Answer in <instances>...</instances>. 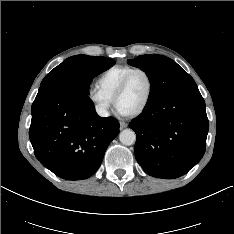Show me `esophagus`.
<instances>
[{"instance_id":"34e87169","label":"esophagus","mask_w":234,"mask_h":234,"mask_svg":"<svg viewBox=\"0 0 234 234\" xmlns=\"http://www.w3.org/2000/svg\"><path fill=\"white\" fill-rule=\"evenodd\" d=\"M127 127V123L125 121H120V129H124Z\"/></svg>"}]
</instances>
